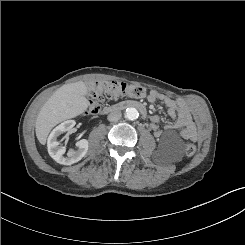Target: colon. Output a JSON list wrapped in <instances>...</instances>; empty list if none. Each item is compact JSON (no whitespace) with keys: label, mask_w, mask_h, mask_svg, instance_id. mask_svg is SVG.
<instances>
[{"label":"colon","mask_w":245,"mask_h":245,"mask_svg":"<svg viewBox=\"0 0 245 245\" xmlns=\"http://www.w3.org/2000/svg\"><path fill=\"white\" fill-rule=\"evenodd\" d=\"M146 93L145 89L138 85L126 84L119 81H99L95 82L89 90L90 105L89 111L96 113L101 104L108 100H117L121 97H142ZM196 152L194 144H187L185 155L192 157Z\"/></svg>","instance_id":"1"}]
</instances>
